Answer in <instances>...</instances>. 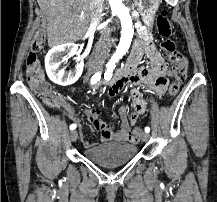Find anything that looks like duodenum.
<instances>
[{
	"label": "duodenum",
	"mask_w": 217,
	"mask_h": 202,
	"mask_svg": "<svg viewBox=\"0 0 217 202\" xmlns=\"http://www.w3.org/2000/svg\"><path fill=\"white\" fill-rule=\"evenodd\" d=\"M139 58H140L139 53L133 50L123 67L117 70V72L113 76L111 75L109 78L105 79L104 81L97 83L95 87L112 86L120 80L129 78L133 74L136 65L139 61Z\"/></svg>",
	"instance_id": "duodenum-1"
}]
</instances>
